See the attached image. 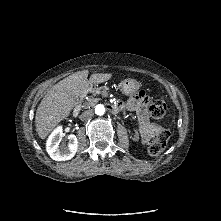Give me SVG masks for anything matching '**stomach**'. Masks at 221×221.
I'll return each mask as SVG.
<instances>
[{
	"instance_id": "1",
	"label": "stomach",
	"mask_w": 221,
	"mask_h": 221,
	"mask_svg": "<svg viewBox=\"0 0 221 221\" xmlns=\"http://www.w3.org/2000/svg\"><path fill=\"white\" fill-rule=\"evenodd\" d=\"M139 87L140 84L135 79H125L121 84L122 92L128 96L134 95Z\"/></svg>"
}]
</instances>
